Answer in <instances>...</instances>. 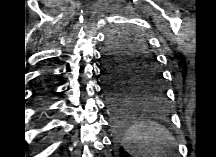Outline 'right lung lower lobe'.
Instances as JSON below:
<instances>
[{
    "label": "right lung lower lobe",
    "instance_id": "right-lung-lower-lobe-1",
    "mask_svg": "<svg viewBox=\"0 0 216 157\" xmlns=\"http://www.w3.org/2000/svg\"><path fill=\"white\" fill-rule=\"evenodd\" d=\"M50 93V90L45 86V87H41V90L39 92V95L42 98H45L46 96H48V94Z\"/></svg>",
    "mask_w": 216,
    "mask_h": 157
}]
</instances>
